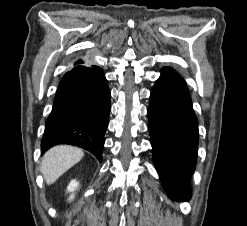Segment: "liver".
<instances>
[{"instance_id":"6515ba94","label":"liver","mask_w":247,"mask_h":226,"mask_svg":"<svg viewBox=\"0 0 247 226\" xmlns=\"http://www.w3.org/2000/svg\"><path fill=\"white\" fill-rule=\"evenodd\" d=\"M84 153L69 145H59L45 153L41 163V173L47 184L54 183L62 174L78 163Z\"/></svg>"}]
</instances>
